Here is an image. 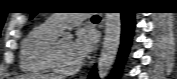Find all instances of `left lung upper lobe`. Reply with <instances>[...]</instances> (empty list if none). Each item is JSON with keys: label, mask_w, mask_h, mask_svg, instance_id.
<instances>
[{"label": "left lung upper lobe", "mask_w": 177, "mask_h": 79, "mask_svg": "<svg viewBox=\"0 0 177 79\" xmlns=\"http://www.w3.org/2000/svg\"><path fill=\"white\" fill-rule=\"evenodd\" d=\"M35 14H36V13L33 12L31 18H32Z\"/></svg>", "instance_id": "obj_1"}]
</instances>
